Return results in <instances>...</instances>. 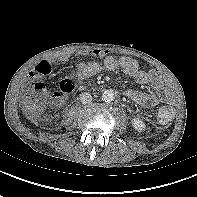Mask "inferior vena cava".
Instances as JSON below:
<instances>
[{"label":"inferior vena cava","mask_w":197,"mask_h":197,"mask_svg":"<svg viewBox=\"0 0 197 197\" xmlns=\"http://www.w3.org/2000/svg\"><path fill=\"white\" fill-rule=\"evenodd\" d=\"M80 101L82 104H89L92 101V96L89 93H82L80 95Z\"/></svg>","instance_id":"inferior-vena-cava-1"}]
</instances>
